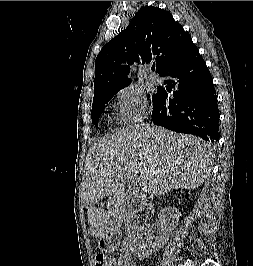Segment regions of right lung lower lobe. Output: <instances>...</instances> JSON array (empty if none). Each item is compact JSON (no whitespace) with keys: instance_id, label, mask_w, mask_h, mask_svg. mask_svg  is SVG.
Returning <instances> with one entry per match:
<instances>
[{"instance_id":"1","label":"right lung lower lobe","mask_w":253,"mask_h":266,"mask_svg":"<svg viewBox=\"0 0 253 266\" xmlns=\"http://www.w3.org/2000/svg\"><path fill=\"white\" fill-rule=\"evenodd\" d=\"M161 76L170 89L158 90L152 120L169 130L199 136L208 143L219 140V110L212 76L197 47Z\"/></svg>"}]
</instances>
